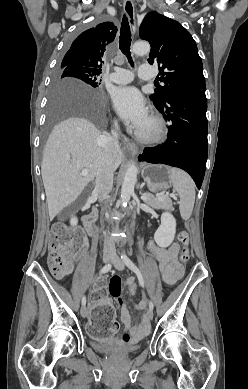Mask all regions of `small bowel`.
Masks as SVG:
<instances>
[{"label": "small bowel", "instance_id": "obj_1", "mask_svg": "<svg viewBox=\"0 0 248 389\" xmlns=\"http://www.w3.org/2000/svg\"><path fill=\"white\" fill-rule=\"evenodd\" d=\"M149 249L154 255L158 265L162 280L169 285L175 284L181 279L183 275L182 268L176 263V257L180 250L177 243L172 244L168 248L157 246L153 241L149 242ZM130 282H136L134 277H128L125 280V285L129 286ZM106 291L110 292L111 297L114 298L120 305V320L124 325V332L122 340L124 342H137L148 333V325L146 319L143 318L141 322L134 323L132 314L121 298V282L118 272H113L110 277V285L106 286ZM129 291V289H128ZM146 307V301L142 300L137 308L142 310ZM116 331V330H111Z\"/></svg>", "mask_w": 248, "mask_h": 389}]
</instances>
